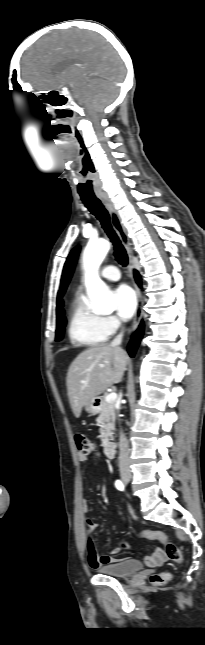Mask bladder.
Returning a JSON list of instances; mask_svg holds the SVG:
<instances>
[{
    "instance_id": "bladder-1",
    "label": "bladder",
    "mask_w": 205,
    "mask_h": 645,
    "mask_svg": "<svg viewBox=\"0 0 205 645\" xmlns=\"http://www.w3.org/2000/svg\"><path fill=\"white\" fill-rule=\"evenodd\" d=\"M143 569V564L136 559H125L115 563L106 564L98 568L102 574L114 577H129Z\"/></svg>"
}]
</instances>
